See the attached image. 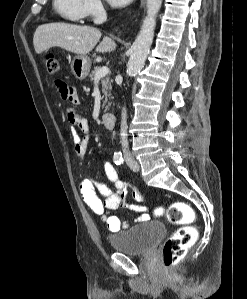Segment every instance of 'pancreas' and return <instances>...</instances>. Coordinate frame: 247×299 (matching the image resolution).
<instances>
[{
	"mask_svg": "<svg viewBox=\"0 0 247 299\" xmlns=\"http://www.w3.org/2000/svg\"><path fill=\"white\" fill-rule=\"evenodd\" d=\"M100 67L96 66L94 68V70L91 72V74L89 75L90 81H95V77L97 72L99 71ZM101 79V85H102V92L104 94L105 100L103 102L102 107H105V104L107 103V99L111 97V93L110 91L112 90V86H111V81L109 79V77L106 78H100ZM109 106L110 103L108 102V106L105 107V112H107L109 110Z\"/></svg>",
	"mask_w": 247,
	"mask_h": 299,
	"instance_id": "pancreas-1",
	"label": "pancreas"
}]
</instances>
